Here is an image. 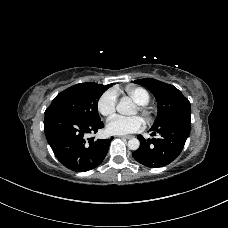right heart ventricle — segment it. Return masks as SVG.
Segmentation results:
<instances>
[{
    "instance_id": "1",
    "label": "right heart ventricle",
    "mask_w": 228,
    "mask_h": 228,
    "mask_svg": "<svg viewBox=\"0 0 228 228\" xmlns=\"http://www.w3.org/2000/svg\"><path fill=\"white\" fill-rule=\"evenodd\" d=\"M126 93L141 106L147 105L151 99L149 92L142 87H128Z\"/></svg>"
}]
</instances>
